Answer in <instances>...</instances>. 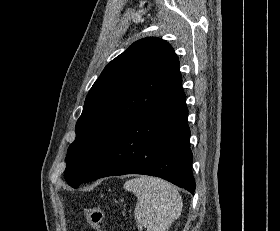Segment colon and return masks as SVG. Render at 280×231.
Returning <instances> with one entry per match:
<instances>
[{
	"label": "colon",
	"instance_id": "colon-1",
	"mask_svg": "<svg viewBox=\"0 0 280 231\" xmlns=\"http://www.w3.org/2000/svg\"><path fill=\"white\" fill-rule=\"evenodd\" d=\"M86 218L91 225L93 231H102V225L104 220V212L98 205L86 207L83 209Z\"/></svg>",
	"mask_w": 280,
	"mask_h": 231
}]
</instances>
